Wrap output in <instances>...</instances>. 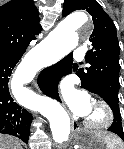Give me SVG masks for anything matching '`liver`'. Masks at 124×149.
Listing matches in <instances>:
<instances>
[{"label": "liver", "mask_w": 124, "mask_h": 149, "mask_svg": "<svg viewBox=\"0 0 124 149\" xmlns=\"http://www.w3.org/2000/svg\"><path fill=\"white\" fill-rule=\"evenodd\" d=\"M17 139L0 134V149H21Z\"/></svg>", "instance_id": "6515ba94"}]
</instances>
